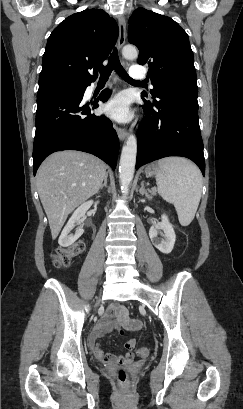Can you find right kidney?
Instances as JSON below:
<instances>
[{"instance_id":"1","label":"right kidney","mask_w":243,"mask_h":409,"mask_svg":"<svg viewBox=\"0 0 243 409\" xmlns=\"http://www.w3.org/2000/svg\"><path fill=\"white\" fill-rule=\"evenodd\" d=\"M97 203L98 202H96L95 204L97 205ZM93 204L94 202L92 200H89L83 203L74 211V213L72 214L71 218L67 222L66 226L64 227L59 237L58 243L60 246L62 247L70 246L84 233V230L81 227H79L76 229V232L74 234H69L76 224L77 225L81 224L82 217L85 216V213Z\"/></svg>"}]
</instances>
